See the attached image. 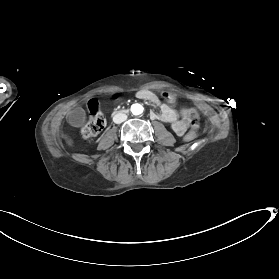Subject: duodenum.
<instances>
[{
  "mask_svg": "<svg viewBox=\"0 0 279 279\" xmlns=\"http://www.w3.org/2000/svg\"><path fill=\"white\" fill-rule=\"evenodd\" d=\"M118 112H121V109H118ZM124 112H130V109H124ZM113 114H117V111H113ZM112 117V114H109L107 116V119H110ZM111 126V121H108L107 127H105V130H108V127ZM102 135H105V132H102ZM102 135L98 136V139H96V142H99V140L102 139Z\"/></svg>",
  "mask_w": 279,
  "mask_h": 279,
  "instance_id": "obj_1",
  "label": "duodenum"
}]
</instances>
